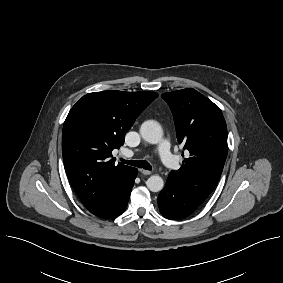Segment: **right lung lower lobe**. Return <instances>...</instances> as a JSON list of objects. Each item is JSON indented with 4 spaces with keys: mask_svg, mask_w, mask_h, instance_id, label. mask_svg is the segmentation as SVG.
<instances>
[{
    "mask_svg": "<svg viewBox=\"0 0 283 283\" xmlns=\"http://www.w3.org/2000/svg\"><path fill=\"white\" fill-rule=\"evenodd\" d=\"M138 170L134 169L131 173L127 183L119 189V193L114 196L110 204L101 210L100 212L94 214L102 218H111L122 214L126 207L131 194L132 187L134 185V180L137 176Z\"/></svg>",
    "mask_w": 283,
    "mask_h": 283,
    "instance_id": "right-lung-lower-lobe-1",
    "label": "right lung lower lobe"
}]
</instances>
